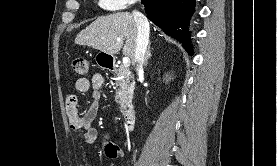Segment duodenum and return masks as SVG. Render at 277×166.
<instances>
[{"label": "duodenum", "mask_w": 277, "mask_h": 166, "mask_svg": "<svg viewBox=\"0 0 277 166\" xmlns=\"http://www.w3.org/2000/svg\"><path fill=\"white\" fill-rule=\"evenodd\" d=\"M109 69H113L115 67V63L110 61L108 63ZM123 122L124 126L128 130H132L135 125V111L131 106H128L123 111Z\"/></svg>", "instance_id": "obj_1"}]
</instances>
